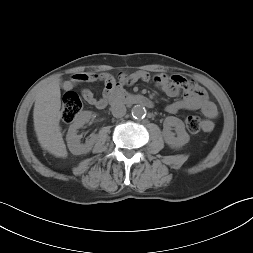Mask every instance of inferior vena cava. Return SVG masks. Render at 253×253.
<instances>
[{"instance_id":"obj_1","label":"inferior vena cava","mask_w":253,"mask_h":253,"mask_svg":"<svg viewBox=\"0 0 253 253\" xmlns=\"http://www.w3.org/2000/svg\"><path fill=\"white\" fill-rule=\"evenodd\" d=\"M111 112L114 117L120 118L126 114V107L123 104H114L111 106Z\"/></svg>"}]
</instances>
